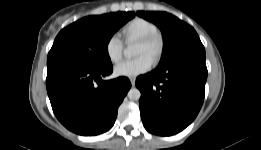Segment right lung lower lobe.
Returning a JSON list of instances; mask_svg holds the SVG:
<instances>
[{"mask_svg": "<svg viewBox=\"0 0 261 150\" xmlns=\"http://www.w3.org/2000/svg\"><path fill=\"white\" fill-rule=\"evenodd\" d=\"M112 71V64L101 68L69 64L47 68L46 87L51 106L67 129L91 136L113 126L131 83L126 77L102 79Z\"/></svg>", "mask_w": 261, "mask_h": 150, "instance_id": "obj_1", "label": "right lung lower lobe"}]
</instances>
